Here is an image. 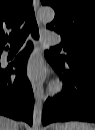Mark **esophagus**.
Instances as JSON below:
<instances>
[{
    "label": "esophagus",
    "instance_id": "1",
    "mask_svg": "<svg viewBox=\"0 0 95 130\" xmlns=\"http://www.w3.org/2000/svg\"><path fill=\"white\" fill-rule=\"evenodd\" d=\"M38 8H39V0H34V9H35V12H37ZM37 20H38V23L40 24V21H39L38 18H37ZM32 89H33V93H34L35 98L39 102H42V93H41V89H40V86L38 85V83L33 82L32 83Z\"/></svg>",
    "mask_w": 95,
    "mask_h": 130
}]
</instances>
